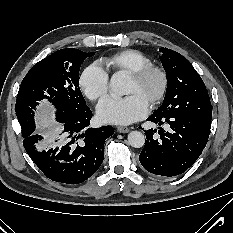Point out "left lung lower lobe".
Wrapping results in <instances>:
<instances>
[{"instance_id":"obj_1","label":"left lung lower lobe","mask_w":233,"mask_h":233,"mask_svg":"<svg viewBox=\"0 0 233 233\" xmlns=\"http://www.w3.org/2000/svg\"><path fill=\"white\" fill-rule=\"evenodd\" d=\"M147 121L161 126L170 125L165 131H145V146L139 155L142 166L150 173L172 177L190 168L207 144L211 121L187 113L152 114Z\"/></svg>"}]
</instances>
